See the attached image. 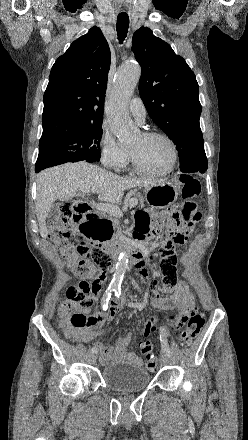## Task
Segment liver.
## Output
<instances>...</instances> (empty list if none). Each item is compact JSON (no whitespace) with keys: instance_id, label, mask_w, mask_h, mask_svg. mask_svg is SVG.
<instances>
[{"instance_id":"obj_1","label":"liver","mask_w":248,"mask_h":440,"mask_svg":"<svg viewBox=\"0 0 248 440\" xmlns=\"http://www.w3.org/2000/svg\"><path fill=\"white\" fill-rule=\"evenodd\" d=\"M164 180L120 177L84 161L65 163L41 171L37 176L35 209L42 238L48 235L46 218L57 199L68 201L85 186L97 193L101 201L119 203L124 191L135 187H149Z\"/></svg>"}]
</instances>
